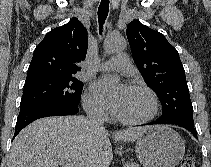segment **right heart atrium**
<instances>
[{"mask_svg": "<svg viewBox=\"0 0 211 167\" xmlns=\"http://www.w3.org/2000/svg\"><path fill=\"white\" fill-rule=\"evenodd\" d=\"M84 106L87 111L98 116H104L107 113V106L92 89L87 90L84 95Z\"/></svg>", "mask_w": 211, "mask_h": 167, "instance_id": "obj_1", "label": "right heart atrium"}]
</instances>
